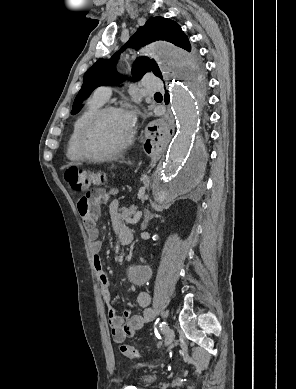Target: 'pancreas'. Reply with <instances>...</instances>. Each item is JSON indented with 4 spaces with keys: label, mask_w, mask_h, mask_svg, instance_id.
Segmentation results:
<instances>
[{
    "label": "pancreas",
    "mask_w": 296,
    "mask_h": 389,
    "mask_svg": "<svg viewBox=\"0 0 296 389\" xmlns=\"http://www.w3.org/2000/svg\"><path fill=\"white\" fill-rule=\"evenodd\" d=\"M119 219L128 224H132V216L136 213V208L131 206L130 208L122 207L120 208Z\"/></svg>",
    "instance_id": "1"
}]
</instances>
